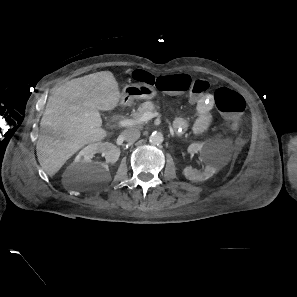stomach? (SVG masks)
<instances>
[{
	"label": "stomach",
	"mask_w": 297,
	"mask_h": 297,
	"mask_svg": "<svg viewBox=\"0 0 297 297\" xmlns=\"http://www.w3.org/2000/svg\"><path fill=\"white\" fill-rule=\"evenodd\" d=\"M156 94L154 86L145 82L127 85L121 94V103L130 104L134 99H152Z\"/></svg>",
	"instance_id": "1"
}]
</instances>
